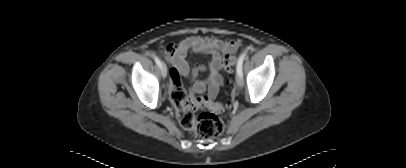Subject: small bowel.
I'll return each instance as SVG.
<instances>
[{
	"label": "small bowel",
	"instance_id": "1",
	"mask_svg": "<svg viewBox=\"0 0 406 168\" xmlns=\"http://www.w3.org/2000/svg\"><path fill=\"white\" fill-rule=\"evenodd\" d=\"M237 47L238 45L234 41H223L213 37L201 36H191L167 46L164 50V56L173 65L170 73V89L176 83H181L182 77L191 76L196 79L200 73L207 71V85L201 80H195L193 90L200 94L206 92L207 96L204 98L215 99L222 84V77L219 73L221 61L225 55L234 53ZM190 52L209 55L210 59L206 65L197 66L190 71L187 62Z\"/></svg>",
	"mask_w": 406,
	"mask_h": 168
}]
</instances>
